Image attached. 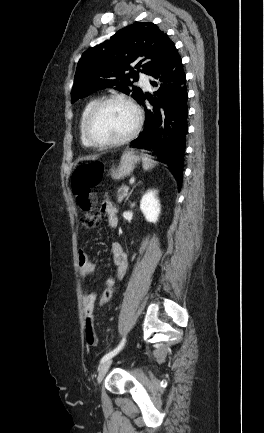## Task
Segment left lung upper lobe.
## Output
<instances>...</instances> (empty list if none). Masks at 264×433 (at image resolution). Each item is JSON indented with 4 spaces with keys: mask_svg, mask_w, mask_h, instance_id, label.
<instances>
[{
    "mask_svg": "<svg viewBox=\"0 0 264 433\" xmlns=\"http://www.w3.org/2000/svg\"><path fill=\"white\" fill-rule=\"evenodd\" d=\"M175 49L168 35L151 22L134 23L119 30L82 55L74 77L72 103L104 88L131 94L139 102L143 92L133 86L138 72L152 75ZM130 64L135 65L134 69Z\"/></svg>",
    "mask_w": 264,
    "mask_h": 433,
    "instance_id": "left-lung-upper-lobe-1",
    "label": "left lung upper lobe"
}]
</instances>
